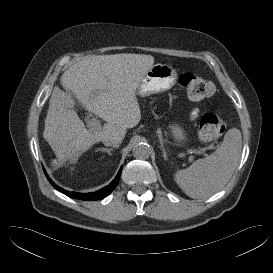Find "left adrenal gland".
I'll return each mask as SVG.
<instances>
[{"instance_id": "obj_1", "label": "left adrenal gland", "mask_w": 273, "mask_h": 273, "mask_svg": "<svg viewBox=\"0 0 273 273\" xmlns=\"http://www.w3.org/2000/svg\"><path fill=\"white\" fill-rule=\"evenodd\" d=\"M162 152H163V157L166 159L167 154H166V151H165V149H164V148H162Z\"/></svg>"}]
</instances>
